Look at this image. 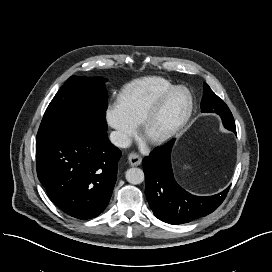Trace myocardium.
<instances>
[{"label": "myocardium", "instance_id": "obj_1", "mask_svg": "<svg viewBox=\"0 0 272 272\" xmlns=\"http://www.w3.org/2000/svg\"><path fill=\"white\" fill-rule=\"evenodd\" d=\"M173 102H178V118L170 125L157 128L161 114ZM192 110V96L183 86L173 87L148 112L142 123V135L150 143L158 144L174 136L188 121Z\"/></svg>", "mask_w": 272, "mask_h": 272}]
</instances>
